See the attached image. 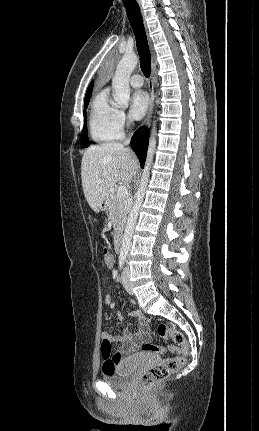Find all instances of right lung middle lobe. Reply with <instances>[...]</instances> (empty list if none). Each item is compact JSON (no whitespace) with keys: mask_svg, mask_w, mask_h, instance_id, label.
Listing matches in <instances>:
<instances>
[{"mask_svg":"<svg viewBox=\"0 0 259 431\" xmlns=\"http://www.w3.org/2000/svg\"><path fill=\"white\" fill-rule=\"evenodd\" d=\"M90 96H91V92L85 95L84 108H87V106L89 104ZM86 120H87L86 111H84V128H83V133H82V138H81L82 145L84 148L88 147L90 144L88 136H87Z\"/></svg>","mask_w":259,"mask_h":431,"instance_id":"obj_1","label":"right lung middle lobe"}]
</instances>
